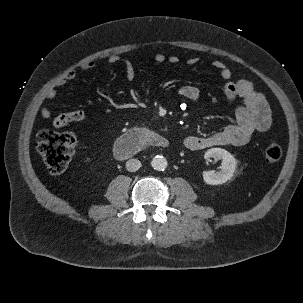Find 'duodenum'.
Here are the masks:
<instances>
[{"label": "duodenum", "instance_id": "410a0bca", "mask_svg": "<svg viewBox=\"0 0 303 303\" xmlns=\"http://www.w3.org/2000/svg\"><path fill=\"white\" fill-rule=\"evenodd\" d=\"M169 140L163 135L146 128L133 129L120 136L114 145V155L119 159L134 156L146 146L168 148Z\"/></svg>", "mask_w": 303, "mask_h": 303}]
</instances>
